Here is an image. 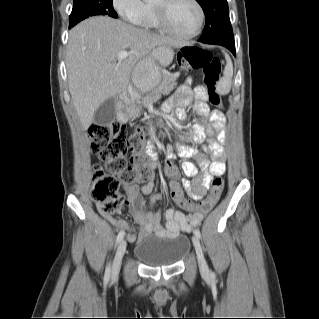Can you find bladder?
<instances>
[{
	"label": "bladder",
	"instance_id": "obj_1",
	"mask_svg": "<svg viewBox=\"0 0 319 319\" xmlns=\"http://www.w3.org/2000/svg\"><path fill=\"white\" fill-rule=\"evenodd\" d=\"M190 249L191 240L188 235H146L135 244L134 256L145 266H169L181 261Z\"/></svg>",
	"mask_w": 319,
	"mask_h": 319
}]
</instances>
